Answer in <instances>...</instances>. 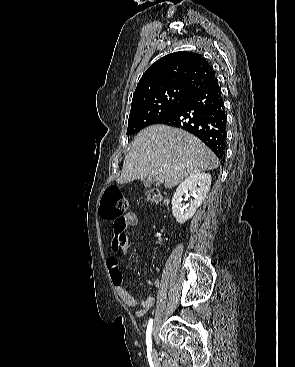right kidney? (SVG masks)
<instances>
[{"label":"right kidney","mask_w":295,"mask_h":367,"mask_svg":"<svg viewBox=\"0 0 295 367\" xmlns=\"http://www.w3.org/2000/svg\"><path fill=\"white\" fill-rule=\"evenodd\" d=\"M211 185V175L208 173H196L190 175L177 187L172 197V214L180 224L185 223L196 212L197 208L206 198ZM188 191L194 197L187 209L182 204L184 194Z\"/></svg>","instance_id":"obj_1"}]
</instances>
